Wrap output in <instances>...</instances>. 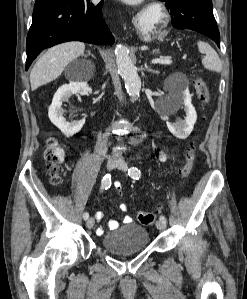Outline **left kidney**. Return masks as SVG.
Masks as SVG:
<instances>
[{"label": "left kidney", "instance_id": "obj_1", "mask_svg": "<svg viewBox=\"0 0 247 299\" xmlns=\"http://www.w3.org/2000/svg\"><path fill=\"white\" fill-rule=\"evenodd\" d=\"M191 101V94L188 87L183 88L173 94V104L166 111L167 114H171L181 106H184L186 113L184 120H178L175 123L167 121L169 131L178 139L187 138L191 134L194 124L196 123L197 113Z\"/></svg>", "mask_w": 247, "mask_h": 299}]
</instances>
